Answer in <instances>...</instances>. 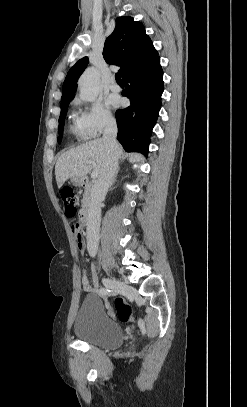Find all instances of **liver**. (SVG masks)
Segmentation results:
<instances>
[{"label":"liver","mask_w":247,"mask_h":407,"mask_svg":"<svg viewBox=\"0 0 247 407\" xmlns=\"http://www.w3.org/2000/svg\"><path fill=\"white\" fill-rule=\"evenodd\" d=\"M122 151V147L118 145V155ZM107 158L108 149L103 139L89 141L66 151L58 158L55 166L58 188L62 187L68 178H84L92 170V166L88 164V161L95 162L99 177L106 166ZM129 160L130 162H140L144 161V157L140 154H131Z\"/></svg>","instance_id":"obj_1"}]
</instances>
